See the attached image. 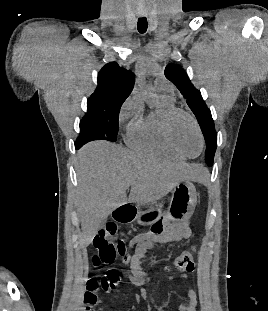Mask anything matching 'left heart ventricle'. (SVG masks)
<instances>
[{
    "label": "left heart ventricle",
    "instance_id": "b2bd125f",
    "mask_svg": "<svg viewBox=\"0 0 268 311\" xmlns=\"http://www.w3.org/2000/svg\"><path fill=\"white\" fill-rule=\"evenodd\" d=\"M173 136L177 145L187 154L196 155L200 139L192 122L185 115H179L173 122Z\"/></svg>",
    "mask_w": 268,
    "mask_h": 311
}]
</instances>
